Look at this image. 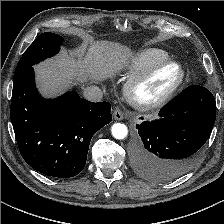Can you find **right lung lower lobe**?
I'll list each match as a JSON object with an SVG mask.
<instances>
[{
  "instance_id": "98d812e1",
  "label": "right lung lower lobe",
  "mask_w": 224,
  "mask_h": 224,
  "mask_svg": "<svg viewBox=\"0 0 224 224\" xmlns=\"http://www.w3.org/2000/svg\"><path fill=\"white\" fill-rule=\"evenodd\" d=\"M110 110L108 102H89L75 91L43 99L32 67L13 83L10 118L20 153L48 176L69 178L83 170L92 136L112 120Z\"/></svg>"
}]
</instances>
